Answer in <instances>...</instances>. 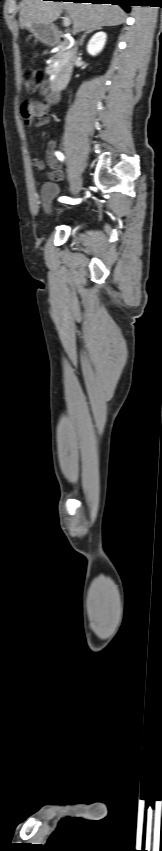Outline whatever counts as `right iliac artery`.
<instances>
[{
  "label": "right iliac artery",
  "instance_id": "82829eb1",
  "mask_svg": "<svg viewBox=\"0 0 162 851\" xmlns=\"http://www.w3.org/2000/svg\"><path fill=\"white\" fill-rule=\"evenodd\" d=\"M55 155L57 156V158L59 160H63V158H64L62 153H60V152H55ZM59 201L64 202V203H68V204H78L81 201V199H71L70 197L63 196V197L59 198Z\"/></svg>",
  "mask_w": 162,
  "mask_h": 851
}]
</instances>
